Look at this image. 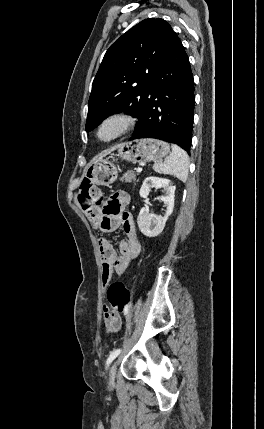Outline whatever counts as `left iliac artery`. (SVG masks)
I'll list each match as a JSON object with an SVG mask.
<instances>
[{
  "instance_id": "left-iliac-artery-1",
  "label": "left iliac artery",
  "mask_w": 264,
  "mask_h": 429,
  "mask_svg": "<svg viewBox=\"0 0 264 429\" xmlns=\"http://www.w3.org/2000/svg\"><path fill=\"white\" fill-rule=\"evenodd\" d=\"M128 314V309L125 310V315ZM121 349H116L111 352L110 356L108 357L106 361V368L112 363V361L120 354Z\"/></svg>"
}]
</instances>
